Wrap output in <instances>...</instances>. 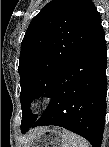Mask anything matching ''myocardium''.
<instances>
[{
	"label": "myocardium",
	"instance_id": "myocardium-1",
	"mask_svg": "<svg viewBox=\"0 0 109 147\" xmlns=\"http://www.w3.org/2000/svg\"><path fill=\"white\" fill-rule=\"evenodd\" d=\"M42 105H43V98L40 96L34 97L30 101V108L34 111L39 110Z\"/></svg>",
	"mask_w": 109,
	"mask_h": 147
}]
</instances>
